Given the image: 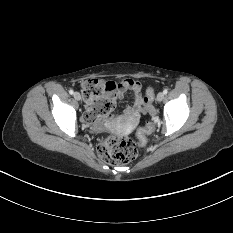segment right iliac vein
I'll use <instances>...</instances> for the list:
<instances>
[{
  "label": "right iliac vein",
  "instance_id": "1",
  "mask_svg": "<svg viewBox=\"0 0 233 233\" xmlns=\"http://www.w3.org/2000/svg\"><path fill=\"white\" fill-rule=\"evenodd\" d=\"M74 98L76 99V100H81V95H80V93L79 92H75L74 93Z\"/></svg>",
  "mask_w": 233,
  "mask_h": 233
}]
</instances>
